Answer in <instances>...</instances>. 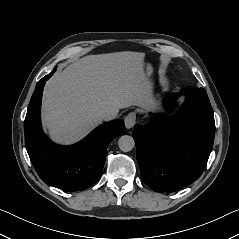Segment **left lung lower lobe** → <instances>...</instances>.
Returning a JSON list of instances; mask_svg holds the SVG:
<instances>
[{
	"instance_id": "obj_1",
	"label": "left lung lower lobe",
	"mask_w": 239,
	"mask_h": 239,
	"mask_svg": "<svg viewBox=\"0 0 239 239\" xmlns=\"http://www.w3.org/2000/svg\"><path fill=\"white\" fill-rule=\"evenodd\" d=\"M186 101L174 120L153 115L134 126L133 137L142 180L155 192H173L203 172L215 135L212 107L203 88L183 89ZM176 94L166 97L174 101Z\"/></svg>"
}]
</instances>
